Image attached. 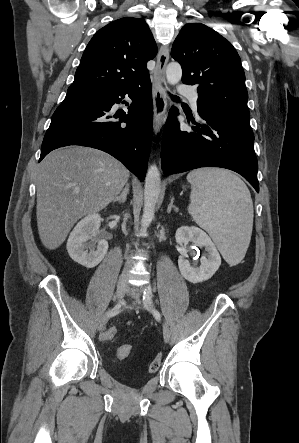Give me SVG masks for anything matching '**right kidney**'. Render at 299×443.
Listing matches in <instances>:
<instances>
[{
	"instance_id": "1",
	"label": "right kidney",
	"mask_w": 299,
	"mask_h": 443,
	"mask_svg": "<svg viewBox=\"0 0 299 443\" xmlns=\"http://www.w3.org/2000/svg\"><path fill=\"white\" fill-rule=\"evenodd\" d=\"M100 224L99 214H89L77 223L69 235L66 246L69 256L84 267H95L107 253L108 242L105 239L93 240L99 232ZM88 240L93 241L87 244Z\"/></svg>"
}]
</instances>
